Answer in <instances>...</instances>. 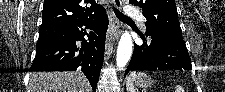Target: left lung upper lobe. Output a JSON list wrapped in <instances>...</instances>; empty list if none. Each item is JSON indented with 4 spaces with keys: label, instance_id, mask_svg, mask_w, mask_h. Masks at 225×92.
<instances>
[{
    "label": "left lung upper lobe",
    "instance_id": "obj_1",
    "mask_svg": "<svg viewBox=\"0 0 225 92\" xmlns=\"http://www.w3.org/2000/svg\"><path fill=\"white\" fill-rule=\"evenodd\" d=\"M129 3L142 8L147 19L145 34L165 33L183 39L175 0H130Z\"/></svg>",
    "mask_w": 225,
    "mask_h": 92
}]
</instances>
